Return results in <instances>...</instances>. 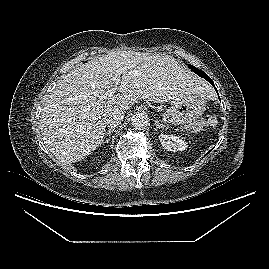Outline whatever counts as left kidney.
Segmentation results:
<instances>
[{
	"label": "left kidney",
	"mask_w": 269,
	"mask_h": 269,
	"mask_svg": "<svg viewBox=\"0 0 269 269\" xmlns=\"http://www.w3.org/2000/svg\"><path fill=\"white\" fill-rule=\"evenodd\" d=\"M159 140L162 146L168 151H182L187 148V143L180 137L174 135L160 134Z\"/></svg>",
	"instance_id": "5707ae66"
}]
</instances>
